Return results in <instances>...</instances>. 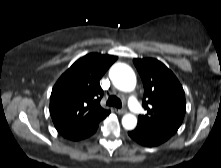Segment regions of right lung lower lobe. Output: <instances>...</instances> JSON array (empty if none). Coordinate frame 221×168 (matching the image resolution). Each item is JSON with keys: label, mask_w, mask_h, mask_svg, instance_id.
Instances as JSON below:
<instances>
[{"label": "right lung lower lobe", "mask_w": 221, "mask_h": 168, "mask_svg": "<svg viewBox=\"0 0 221 168\" xmlns=\"http://www.w3.org/2000/svg\"><path fill=\"white\" fill-rule=\"evenodd\" d=\"M97 127L92 128L90 130L82 131V132L77 133V134L65 135L64 137L67 138V139L73 140V141L82 140V139H85V138L91 136L92 134H94L97 130Z\"/></svg>", "instance_id": "98d812e1"}]
</instances>
